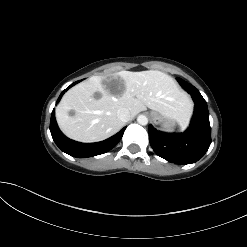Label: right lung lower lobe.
Wrapping results in <instances>:
<instances>
[{"mask_svg": "<svg viewBox=\"0 0 247 247\" xmlns=\"http://www.w3.org/2000/svg\"><path fill=\"white\" fill-rule=\"evenodd\" d=\"M78 82L79 81L71 84L68 88H66L60 94L56 103L59 102L62 95L65 93L67 89H69L71 86H73L74 84ZM125 129L126 127H124L120 132H118L114 136L102 142L91 143V144L79 143V142L70 140L69 138H67L66 136L62 134V132L59 130L57 123H56L54 109L51 114L50 131H51V135H52L54 142L63 152L69 154L70 156L76 157V158L92 157V156H96V155H100V154H104L108 152L120 141Z\"/></svg>", "mask_w": 247, "mask_h": 247, "instance_id": "1", "label": "right lung lower lobe"}]
</instances>
